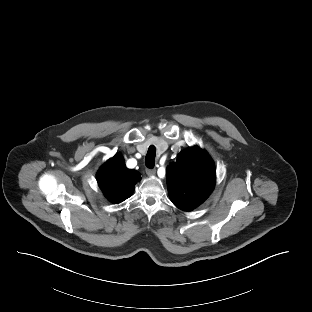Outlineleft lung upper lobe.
I'll use <instances>...</instances> for the list:
<instances>
[{
    "label": "left lung upper lobe",
    "mask_w": 312,
    "mask_h": 312,
    "mask_svg": "<svg viewBox=\"0 0 312 312\" xmlns=\"http://www.w3.org/2000/svg\"><path fill=\"white\" fill-rule=\"evenodd\" d=\"M166 171L170 199L184 211L199 206L215 186L214 162L197 146L180 152Z\"/></svg>",
    "instance_id": "left-lung-upper-lobe-1"
}]
</instances>
